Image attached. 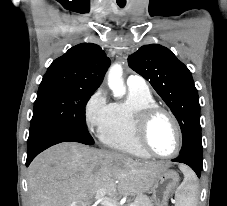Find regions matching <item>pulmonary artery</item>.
I'll use <instances>...</instances> for the list:
<instances>
[{
  "label": "pulmonary artery",
  "mask_w": 227,
  "mask_h": 206,
  "mask_svg": "<svg viewBox=\"0 0 227 206\" xmlns=\"http://www.w3.org/2000/svg\"><path fill=\"white\" fill-rule=\"evenodd\" d=\"M129 90L146 92L149 91L148 85L144 78L139 75H130L126 80Z\"/></svg>",
  "instance_id": "pulmonary-artery-1"
}]
</instances>
